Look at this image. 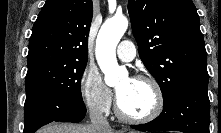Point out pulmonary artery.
I'll use <instances>...</instances> for the list:
<instances>
[{"label": "pulmonary artery", "mask_w": 221, "mask_h": 133, "mask_svg": "<svg viewBox=\"0 0 221 133\" xmlns=\"http://www.w3.org/2000/svg\"><path fill=\"white\" fill-rule=\"evenodd\" d=\"M117 55L124 62L132 61L135 58L136 51L132 42L122 41L117 49Z\"/></svg>", "instance_id": "e3ab8cb5"}]
</instances>
